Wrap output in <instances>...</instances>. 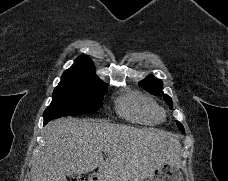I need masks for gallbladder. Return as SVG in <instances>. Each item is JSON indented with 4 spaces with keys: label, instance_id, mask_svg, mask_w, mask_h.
I'll list each match as a JSON object with an SVG mask.
<instances>
[{
    "label": "gallbladder",
    "instance_id": "obj_1",
    "mask_svg": "<svg viewBox=\"0 0 228 181\" xmlns=\"http://www.w3.org/2000/svg\"><path fill=\"white\" fill-rule=\"evenodd\" d=\"M67 175H71V173H67Z\"/></svg>",
    "mask_w": 228,
    "mask_h": 181
}]
</instances>
